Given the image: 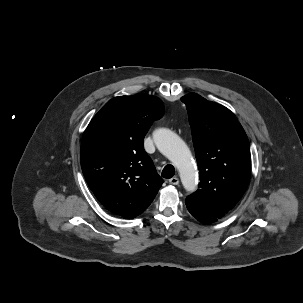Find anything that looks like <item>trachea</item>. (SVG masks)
<instances>
[{"mask_svg": "<svg viewBox=\"0 0 303 303\" xmlns=\"http://www.w3.org/2000/svg\"><path fill=\"white\" fill-rule=\"evenodd\" d=\"M174 174H175V168L170 164L166 165L161 173L162 177L166 179L172 178Z\"/></svg>", "mask_w": 303, "mask_h": 303, "instance_id": "1", "label": "trachea"}]
</instances>
